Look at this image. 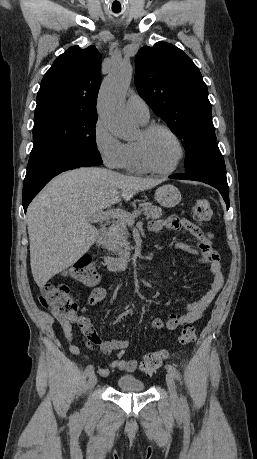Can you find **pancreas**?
Segmentation results:
<instances>
[{
    "label": "pancreas",
    "instance_id": "pancreas-1",
    "mask_svg": "<svg viewBox=\"0 0 257 459\" xmlns=\"http://www.w3.org/2000/svg\"><path fill=\"white\" fill-rule=\"evenodd\" d=\"M136 212H144L147 218L159 219L162 216V209L150 202H141ZM128 223L125 221H115L106 231L102 244L108 251L125 253L129 250L128 242Z\"/></svg>",
    "mask_w": 257,
    "mask_h": 459
}]
</instances>
